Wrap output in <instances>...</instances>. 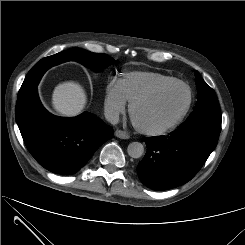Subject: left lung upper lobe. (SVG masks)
I'll return each instance as SVG.
<instances>
[{"mask_svg": "<svg viewBox=\"0 0 245 245\" xmlns=\"http://www.w3.org/2000/svg\"><path fill=\"white\" fill-rule=\"evenodd\" d=\"M195 80L198 89V101L194 112L181 126L205 125L221 130V112L214 90L195 71Z\"/></svg>", "mask_w": 245, "mask_h": 245, "instance_id": "1", "label": "left lung upper lobe"}]
</instances>
